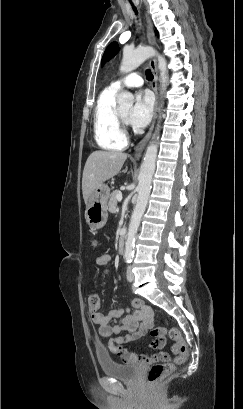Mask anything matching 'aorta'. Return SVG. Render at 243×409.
Segmentation results:
<instances>
[{
  "mask_svg": "<svg viewBox=\"0 0 243 409\" xmlns=\"http://www.w3.org/2000/svg\"><path fill=\"white\" fill-rule=\"evenodd\" d=\"M157 56L158 59V68L160 70V78H161V93L166 90L167 81H168V70H167V62L166 59L159 55L153 48L151 47H138L133 51L124 50L123 58L120 65V71L123 73H128L134 69H136L140 64H142L146 59ZM117 103L122 107H131L134 103V96L128 92L123 91L117 96ZM159 125L157 130L155 131L152 141L148 145L146 149V153L144 155L140 172H139V183L137 187L138 197L136 201L135 208L133 210L129 229L127 233V240L125 243V253L124 257L126 259H131L134 254V242L135 237L140 225L141 217L146 209L150 190H151V182L152 177L155 171V162L158 152V143L157 140L159 139Z\"/></svg>",
  "mask_w": 243,
  "mask_h": 409,
  "instance_id": "aorta-1",
  "label": "aorta"
}]
</instances>
